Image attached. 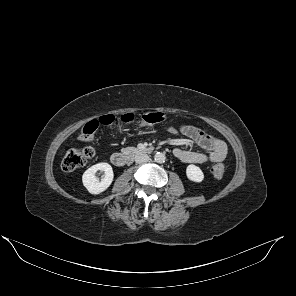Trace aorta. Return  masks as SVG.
<instances>
[{
  "instance_id": "obj_1",
  "label": "aorta",
  "mask_w": 296,
  "mask_h": 296,
  "mask_svg": "<svg viewBox=\"0 0 296 296\" xmlns=\"http://www.w3.org/2000/svg\"><path fill=\"white\" fill-rule=\"evenodd\" d=\"M165 154L164 153H161V152H157L154 156V160L157 162V163H164L165 162Z\"/></svg>"
}]
</instances>
